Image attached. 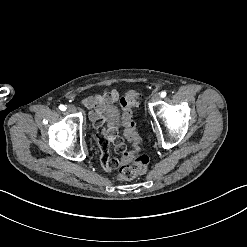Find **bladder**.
Listing matches in <instances>:
<instances>
[{
    "label": "bladder",
    "mask_w": 247,
    "mask_h": 247,
    "mask_svg": "<svg viewBox=\"0 0 247 247\" xmlns=\"http://www.w3.org/2000/svg\"><path fill=\"white\" fill-rule=\"evenodd\" d=\"M103 115L110 123H118L120 117V109L114 105H107L103 112Z\"/></svg>",
    "instance_id": "1"
}]
</instances>
